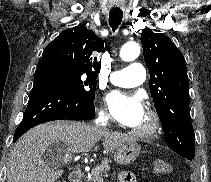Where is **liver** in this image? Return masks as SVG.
I'll list each match as a JSON object with an SVG mask.
<instances>
[{"label": "liver", "instance_id": "6515ba94", "mask_svg": "<svg viewBox=\"0 0 211 182\" xmlns=\"http://www.w3.org/2000/svg\"><path fill=\"white\" fill-rule=\"evenodd\" d=\"M101 140L103 152L109 153L135 139L127 134L75 121L38 125L16 142L10 155L7 182H55L63 174L60 168L66 154L89 152L93 148L97 151ZM56 143H61L63 157L44 160L46 150Z\"/></svg>", "mask_w": 211, "mask_h": 182}]
</instances>
